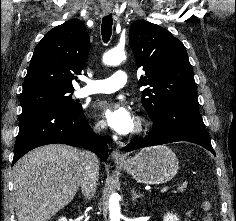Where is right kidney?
<instances>
[{"mask_svg":"<svg viewBox=\"0 0 236 221\" xmlns=\"http://www.w3.org/2000/svg\"><path fill=\"white\" fill-rule=\"evenodd\" d=\"M58 221H67V219L65 217H62Z\"/></svg>","mask_w":236,"mask_h":221,"instance_id":"1","label":"right kidney"}]
</instances>
